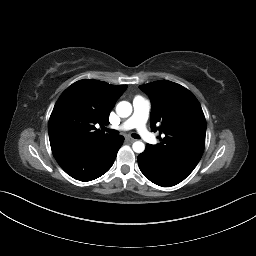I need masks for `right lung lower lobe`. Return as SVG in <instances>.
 Listing matches in <instances>:
<instances>
[{
  "label": "right lung lower lobe",
  "mask_w": 256,
  "mask_h": 256,
  "mask_svg": "<svg viewBox=\"0 0 256 256\" xmlns=\"http://www.w3.org/2000/svg\"><path fill=\"white\" fill-rule=\"evenodd\" d=\"M123 141L124 137L121 135L110 137L56 160L61 168L74 179L91 181L111 168Z\"/></svg>",
  "instance_id": "98d812e1"
}]
</instances>
